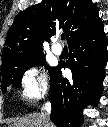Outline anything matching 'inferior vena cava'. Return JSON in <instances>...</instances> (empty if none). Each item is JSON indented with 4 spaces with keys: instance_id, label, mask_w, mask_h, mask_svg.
<instances>
[{
    "instance_id": "602c4592",
    "label": "inferior vena cava",
    "mask_w": 108,
    "mask_h": 127,
    "mask_svg": "<svg viewBox=\"0 0 108 127\" xmlns=\"http://www.w3.org/2000/svg\"><path fill=\"white\" fill-rule=\"evenodd\" d=\"M51 103L48 101L42 108V116L46 118V122L50 123Z\"/></svg>"
}]
</instances>
